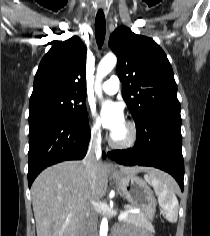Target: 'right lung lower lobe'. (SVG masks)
Wrapping results in <instances>:
<instances>
[{"instance_id": "obj_1", "label": "right lung lower lobe", "mask_w": 210, "mask_h": 236, "mask_svg": "<svg viewBox=\"0 0 210 236\" xmlns=\"http://www.w3.org/2000/svg\"><path fill=\"white\" fill-rule=\"evenodd\" d=\"M29 127V187L44 168L65 160L82 159L86 155L90 140L88 119L76 122L49 118L29 124Z\"/></svg>"}]
</instances>
